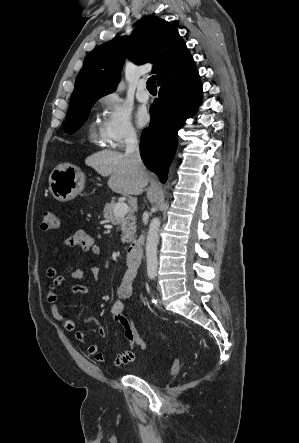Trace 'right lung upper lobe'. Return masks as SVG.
<instances>
[{
    "instance_id": "right-lung-upper-lobe-1",
    "label": "right lung upper lobe",
    "mask_w": 299,
    "mask_h": 443,
    "mask_svg": "<svg viewBox=\"0 0 299 443\" xmlns=\"http://www.w3.org/2000/svg\"><path fill=\"white\" fill-rule=\"evenodd\" d=\"M125 57L136 64L154 63L152 72L157 74L158 83L182 77L195 68L174 25L156 16H146L131 36L115 38L87 56L76 78L69 108L112 93L120 80Z\"/></svg>"
}]
</instances>
